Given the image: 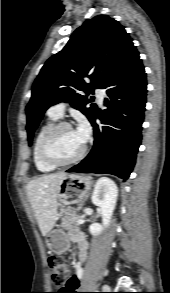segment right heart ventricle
<instances>
[{"mask_svg":"<svg viewBox=\"0 0 170 293\" xmlns=\"http://www.w3.org/2000/svg\"><path fill=\"white\" fill-rule=\"evenodd\" d=\"M58 118L49 115L48 120L40 127L37 136L35 138L34 141V145H33V160H34V164L36 166V168L40 171V172H51L53 171L56 167L51 166L49 164H46L45 162L42 161V159L40 158L39 155V146H40V142L41 139L43 137V135L46 133V131L52 127L55 123H57Z\"/></svg>","mask_w":170,"mask_h":293,"instance_id":"right-heart-ventricle-1","label":"right heart ventricle"}]
</instances>
